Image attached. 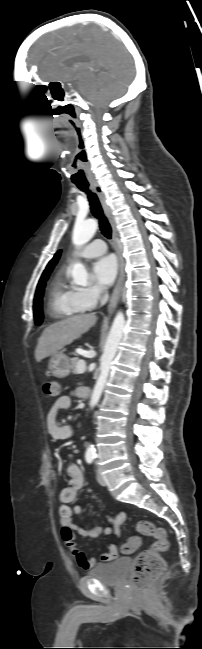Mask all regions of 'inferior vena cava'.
Wrapping results in <instances>:
<instances>
[{
	"mask_svg": "<svg viewBox=\"0 0 202 649\" xmlns=\"http://www.w3.org/2000/svg\"><path fill=\"white\" fill-rule=\"evenodd\" d=\"M99 289H100L101 293H104L103 297L101 299V305H104L107 302V300L109 298V295H108V292L105 290L104 287H99Z\"/></svg>",
	"mask_w": 202,
	"mask_h": 649,
	"instance_id": "602c4592",
	"label": "inferior vena cava"
}]
</instances>
